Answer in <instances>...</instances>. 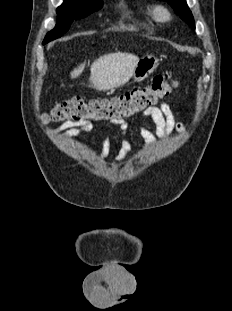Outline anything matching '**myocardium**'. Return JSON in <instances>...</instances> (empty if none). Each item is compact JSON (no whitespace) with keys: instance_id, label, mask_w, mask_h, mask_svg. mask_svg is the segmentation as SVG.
Returning a JSON list of instances; mask_svg holds the SVG:
<instances>
[{"instance_id":"myocardium-1","label":"myocardium","mask_w":232,"mask_h":311,"mask_svg":"<svg viewBox=\"0 0 232 311\" xmlns=\"http://www.w3.org/2000/svg\"><path fill=\"white\" fill-rule=\"evenodd\" d=\"M153 17L160 22H167L171 18V13L166 6L158 5L152 10Z\"/></svg>"}]
</instances>
